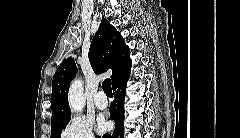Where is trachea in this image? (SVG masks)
I'll use <instances>...</instances> for the list:
<instances>
[{
  "label": "trachea",
  "mask_w": 240,
  "mask_h": 138,
  "mask_svg": "<svg viewBox=\"0 0 240 138\" xmlns=\"http://www.w3.org/2000/svg\"><path fill=\"white\" fill-rule=\"evenodd\" d=\"M102 88L107 97H113L110 79H105L103 81Z\"/></svg>",
  "instance_id": "obj_1"
}]
</instances>
